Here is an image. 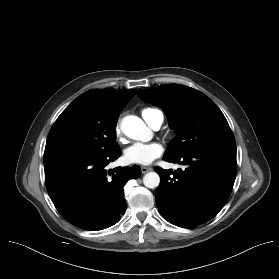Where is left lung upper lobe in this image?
I'll use <instances>...</instances> for the list:
<instances>
[{
	"instance_id": "1",
	"label": "left lung upper lobe",
	"mask_w": 279,
	"mask_h": 279,
	"mask_svg": "<svg viewBox=\"0 0 279 279\" xmlns=\"http://www.w3.org/2000/svg\"><path fill=\"white\" fill-rule=\"evenodd\" d=\"M146 102L160 106L176 131L166 156L177 157L211 146H236L229 124L217 105L204 93L179 84L138 90Z\"/></svg>"
}]
</instances>
